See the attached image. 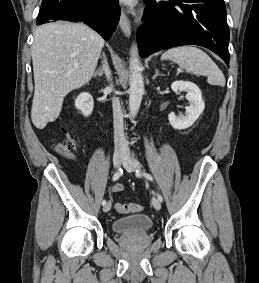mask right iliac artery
<instances>
[{
    "label": "right iliac artery",
    "instance_id": "1",
    "mask_svg": "<svg viewBox=\"0 0 259 283\" xmlns=\"http://www.w3.org/2000/svg\"><path fill=\"white\" fill-rule=\"evenodd\" d=\"M123 174V170L122 168H119L118 171L114 174L112 180L116 181L120 178V176ZM106 204V200L102 201V205L104 206Z\"/></svg>",
    "mask_w": 259,
    "mask_h": 283
}]
</instances>
